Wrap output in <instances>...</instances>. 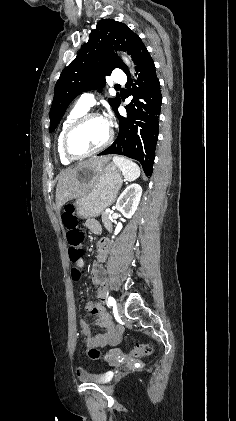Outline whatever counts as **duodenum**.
<instances>
[{"label":"duodenum","instance_id":"duodenum-1","mask_svg":"<svg viewBox=\"0 0 236 421\" xmlns=\"http://www.w3.org/2000/svg\"><path fill=\"white\" fill-rule=\"evenodd\" d=\"M99 255L101 261L105 260L109 251V242L107 239H102L99 243ZM92 277L94 282L98 285V295L100 299H103L106 294V271L104 267L97 263L93 267ZM93 313H97L99 315V324L105 328L106 333L100 336L95 337L93 340L99 342L100 344L103 343L107 339V321L102 317L99 313V310L93 308ZM82 329L84 334H89V328L86 324L82 325Z\"/></svg>","mask_w":236,"mask_h":421}]
</instances>
